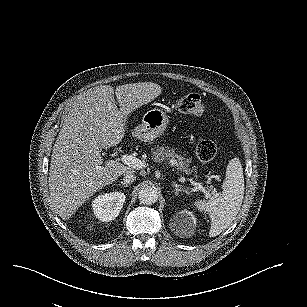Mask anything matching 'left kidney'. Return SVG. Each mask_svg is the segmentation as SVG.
<instances>
[{
  "instance_id": "5707ae66",
  "label": "left kidney",
  "mask_w": 307,
  "mask_h": 307,
  "mask_svg": "<svg viewBox=\"0 0 307 307\" xmlns=\"http://www.w3.org/2000/svg\"><path fill=\"white\" fill-rule=\"evenodd\" d=\"M172 220L175 222L172 231L179 237H192L197 228V217L195 213L189 209H181L176 213Z\"/></svg>"
}]
</instances>
